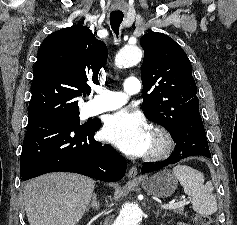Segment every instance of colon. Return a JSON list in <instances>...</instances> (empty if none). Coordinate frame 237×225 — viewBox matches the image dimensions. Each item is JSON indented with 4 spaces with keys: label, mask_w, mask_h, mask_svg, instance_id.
Segmentation results:
<instances>
[{
    "label": "colon",
    "mask_w": 237,
    "mask_h": 225,
    "mask_svg": "<svg viewBox=\"0 0 237 225\" xmlns=\"http://www.w3.org/2000/svg\"><path fill=\"white\" fill-rule=\"evenodd\" d=\"M193 225H215L212 219L207 215H195Z\"/></svg>",
    "instance_id": "colon-1"
}]
</instances>
